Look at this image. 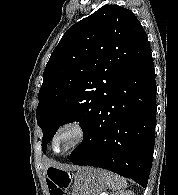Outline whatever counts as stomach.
Returning a JSON list of instances; mask_svg holds the SVG:
<instances>
[{"label": "stomach", "instance_id": "0dacf381", "mask_svg": "<svg viewBox=\"0 0 178 195\" xmlns=\"http://www.w3.org/2000/svg\"><path fill=\"white\" fill-rule=\"evenodd\" d=\"M54 169H48L55 173L60 178H68L71 182V195H100V193L106 188V183L102 175L98 172V169L93 167H81L70 176V172L56 167H49ZM56 189H62V193L65 190L61 187Z\"/></svg>", "mask_w": 178, "mask_h": 195}]
</instances>
